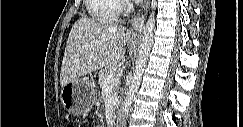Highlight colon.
<instances>
[{"instance_id": "5ec220e1", "label": "colon", "mask_w": 243, "mask_h": 127, "mask_svg": "<svg viewBox=\"0 0 243 127\" xmlns=\"http://www.w3.org/2000/svg\"><path fill=\"white\" fill-rule=\"evenodd\" d=\"M69 126H70V127H72L73 125H72V124H70Z\"/></svg>"}]
</instances>
